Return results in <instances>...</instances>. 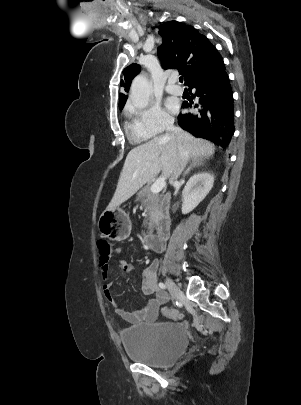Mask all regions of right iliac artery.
<instances>
[{
    "label": "right iliac artery",
    "mask_w": 301,
    "mask_h": 405,
    "mask_svg": "<svg viewBox=\"0 0 301 405\" xmlns=\"http://www.w3.org/2000/svg\"><path fill=\"white\" fill-rule=\"evenodd\" d=\"M159 287L163 290H166V285L162 282L159 283Z\"/></svg>",
    "instance_id": "82829eb1"
}]
</instances>
